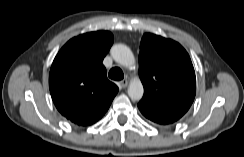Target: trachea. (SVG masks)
<instances>
[{
	"instance_id": "3493384b",
	"label": "trachea",
	"mask_w": 244,
	"mask_h": 157,
	"mask_svg": "<svg viewBox=\"0 0 244 157\" xmlns=\"http://www.w3.org/2000/svg\"><path fill=\"white\" fill-rule=\"evenodd\" d=\"M109 78H111L112 80H122L124 77V74L122 72V70L119 67H113L108 74Z\"/></svg>"
}]
</instances>
